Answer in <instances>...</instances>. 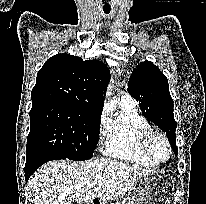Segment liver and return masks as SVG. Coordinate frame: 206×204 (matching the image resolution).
I'll return each instance as SVG.
<instances>
[{
    "instance_id": "1",
    "label": "liver",
    "mask_w": 206,
    "mask_h": 204,
    "mask_svg": "<svg viewBox=\"0 0 206 204\" xmlns=\"http://www.w3.org/2000/svg\"><path fill=\"white\" fill-rule=\"evenodd\" d=\"M149 172L137 165L111 159L61 160L41 166L28 185L34 193L35 204H66L68 200L89 204L96 197L105 202L120 199ZM96 176H102L103 181L96 183Z\"/></svg>"
}]
</instances>
